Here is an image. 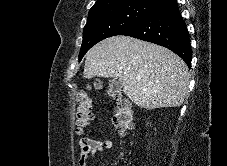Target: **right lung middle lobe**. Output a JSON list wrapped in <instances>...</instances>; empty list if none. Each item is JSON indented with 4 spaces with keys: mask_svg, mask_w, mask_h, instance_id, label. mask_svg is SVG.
I'll return each mask as SVG.
<instances>
[{
    "mask_svg": "<svg viewBox=\"0 0 227 166\" xmlns=\"http://www.w3.org/2000/svg\"><path fill=\"white\" fill-rule=\"evenodd\" d=\"M156 7L141 3H123L90 11L83 31L79 60L99 41L118 35Z\"/></svg>",
    "mask_w": 227,
    "mask_h": 166,
    "instance_id": "obj_1",
    "label": "right lung middle lobe"
}]
</instances>
